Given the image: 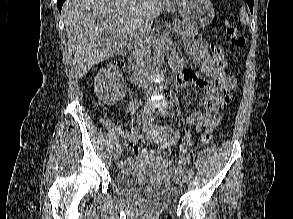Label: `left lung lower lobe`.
I'll list each match as a JSON object with an SVG mask.
<instances>
[{
    "label": "left lung lower lobe",
    "mask_w": 293,
    "mask_h": 219,
    "mask_svg": "<svg viewBox=\"0 0 293 219\" xmlns=\"http://www.w3.org/2000/svg\"><path fill=\"white\" fill-rule=\"evenodd\" d=\"M245 1L247 2L251 12H253V2H254V0H245Z\"/></svg>",
    "instance_id": "1"
}]
</instances>
